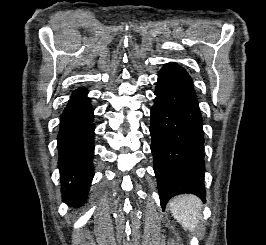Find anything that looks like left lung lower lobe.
Here are the masks:
<instances>
[{
  "label": "left lung lower lobe",
  "mask_w": 266,
  "mask_h": 245,
  "mask_svg": "<svg viewBox=\"0 0 266 245\" xmlns=\"http://www.w3.org/2000/svg\"><path fill=\"white\" fill-rule=\"evenodd\" d=\"M155 95L151 152L162 208L183 193L205 202L204 134L192 79L176 63H167L158 74Z\"/></svg>",
  "instance_id": "left-lung-lower-lobe-1"
}]
</instances>
